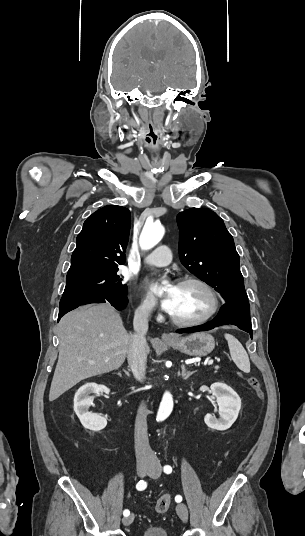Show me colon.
<instances>
[{
  "label": "colon",
  "instance_id": "1",
  "mask_svg": "<svg viewBox=\"0 0 305 536\" xmlns=\"http://www.w3.org/2000/svg\"><path fill=\"white\" fill-rule=\"evenodd\" d=\"M248 384L253 390V392L256 394V396L259 399H263L264 392L259 381L253 377H249ZM171 504H172V497L170 494L166 493L157 500L155 504V508H154L155 512L157 514H164L170 509Z\"/></svg>",
  "mask_w": 305,
  "mask_h": 536
}]
</instances>
